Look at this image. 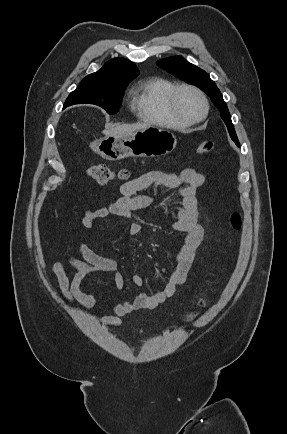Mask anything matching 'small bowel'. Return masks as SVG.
<instances>
[{
  "instance_id": "c3829d8e",
  "label": "small bowel",
  "mask_w": 287,
  "mask_h": 434,
  "mask_svg": "<svg viewBox=\"0 0 287 434\" xmlns=\"http://www.w3.org/2000/svg\"><path fill=\"white\" fill-rule=\"evenodd\" d=\"M204 181V174L193 168H185L179 173L151 170L122 184L119 187L121 197L114 203L84 213L80 223L85 228H92L97 221L110 216L128 218L131 222L126 227V234L135 236L142 230V224L132 219L133 212L156 206L154 196L140 193L143 189L151 185H161L178 190L182 196V202L173 208L175 221L171 223L170 228L174 233L182 234L183 241L175 255L174 266L164 288L151 294L140 293L132 299L112 304V315L102 317L100 320L102 325L120 326L122 316L158 308L171 298L177 287L183 283L204 238V230L197 222L199 211L196 198L197 190ZM74 247L81 259L73 256L68 257V261L76 269L73 278L67 277L60 262L53 265V271L65 300L68 303L77 301L86 312H90L96 305L100 293L98 291L83 292L80 287L84 279L108 274L112 276L117 289L125 287V280L115 259L99 255L79 242H75ZM132 283L140 287L143 285L144 279L141 275L133 273Z\"/></svg>"
}]
</instances>
